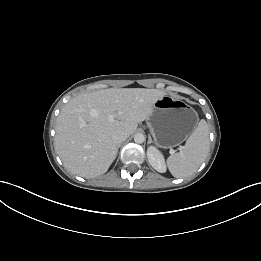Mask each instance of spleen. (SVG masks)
<instances>
[{"mask_svg": "<svg viewBox=\"0 0 261 261\" xmlns=\"http://www.w3.org/2000/svg\"><path fill=\"white\" fill-rule=\"evenodd\" d=\"M208 152L209 130L206 121L202 119L180 152L168 157V169L176 178L191 176L204 162Z\"/></svg>", "mask_w": 261, "mask_h": 261, "instance_id": "1", "label": "spleen"}]
</instances>
